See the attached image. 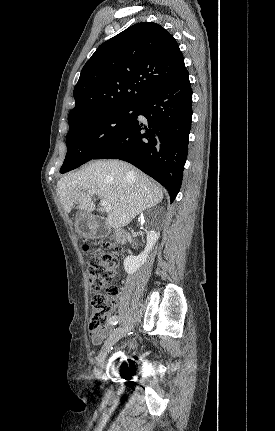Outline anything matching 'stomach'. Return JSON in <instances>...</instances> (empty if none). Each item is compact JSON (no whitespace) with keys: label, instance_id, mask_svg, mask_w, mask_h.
<instances>
[{"label":"stomach","instance_id":"0dacf381","mask_svg":"<svg viewBox=\"0 0 275 431\" xmlns=\"http://www.w3.org/2000/svg\"><path fill=\"white\" fill-rule=\"evenodd\" d=\"M76 232L85 238L92 237L95 234V228L91 222V218L86 213H78L75 218Z\"/></svg>","mask_w":275,"mask_h":431}]
</instances>
